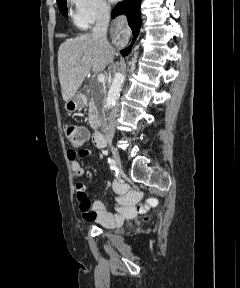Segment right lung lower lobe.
I'll return each instance as SVG.
<instances>
[{
	"label": "right lung lower lobe",
	"instance_id": "obj_1",
	"mask_svg": "<svg viewBox=\"0 0 240 288\" xmlns=\"http://www.w3.org/2000/svg\"><path fill=\"white\" fill-rule=\"evenodd\" d=\"M140 3L141 0H124L123 2L118 3L112 11V18L123 13L127 15L128 24L133 32V42L138 35L141 24ZM131 48L132 44L128 48L122 50L123 56H126Z\"/></svg>",
	"mask_w": 240,
	"mask_h": 288
}]
</instances>
